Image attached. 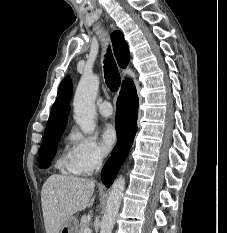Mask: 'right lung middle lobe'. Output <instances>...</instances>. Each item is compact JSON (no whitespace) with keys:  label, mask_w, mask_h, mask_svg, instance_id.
<instances>
[{"label":"right lung middle lobe","mask_w":227,"mask_h":233,"mask_svg":"<svg viewBox=\"0 0 227 233\" xmlns=\"http://www.w3.org/2000/svg\"><path fill=\"white\" fill-rule=\"evenodd\" d=\"M63 132L52 137L44 138L39 154V167H49L51 160L56 153V146Z\"/></svg>","instance_id":"dd1d6c3e"}]
</instances>
